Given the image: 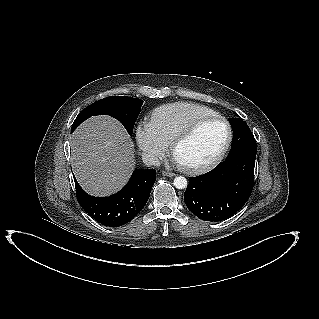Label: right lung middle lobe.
Masks as SVG:
<instances>
[{"mask_svg": "<svg viewBox=\"0 0 319 319\" xmlns=\"http://www.w3.org/2000/svg\"><path fill=\"white\" fill-rule=\"evenodd\" d=\"M142 103L143 101L140 99L125 96H109L98 100L78 114L72 125L71 132L92 115L106 114L122 122L128 133L132 135Z\"/></svg>", "mask_w": 319, "mask_h": 319, "instance_id": "right-lung-middle-lobe-1", "label": "right lung middle lobe"}]
</instances>
